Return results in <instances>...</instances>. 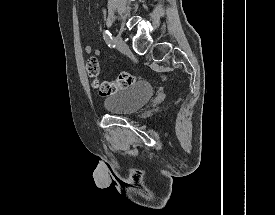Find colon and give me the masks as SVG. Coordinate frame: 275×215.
<instances>
[{
  "label": "colon",
  "mask_w": 275,
  "mask_h": 215,
  "mask_svg": "<svg viewBox=\"0 0 275 215\" xmlns=\"http://www.w3.org/2000/svg\"><path fill=\"white\" fill-rule=\"evenodd\" d=\"M86 69L90 77L93 78V86L98 90L101 97H108V95L125 90L132 86L136 81V76L131 71H122L112 81H99L97 76L99 74V63L94 57H91L86 62ZM168 79L167 77H164Z\"/></svg>",
  "instance_id": "1"
}]
</instances>
